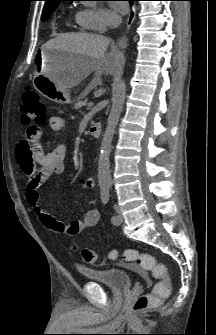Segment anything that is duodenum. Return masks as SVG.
<instances>
[{
	"label": "duodenum",
	"instance_id": "410a0bca",
	"mask_svg": "<svg viewBox=\"0 0 216 335\" xmlns=\"http://www.w3.org/2000/svg\"><path fill=\"white\" fill-rule=\"evenodd\" d=\"M101 125L99 123L92 124L89 128V134L93 138H97L100 135Z\"/></svg>",
	"mask_w": 216,
	"mask_h": 335
}]
</instances>
